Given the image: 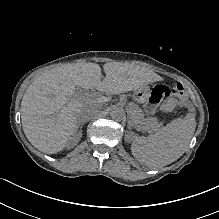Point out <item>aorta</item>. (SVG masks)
I'll list each match as a JSON object with an SVG mask.
<instances>
[{
	"instance_id": "762f6f07",
	"label": "aorta",
	"mask_w": 219,
	"mask_h": 219,
	"mask_svg": "<svg viewBox=\"0 0 219 219\" xmlns=\"http://www.w3.org/2000/svg\"><path fill=\"white\" fill-rule=\"evenodd\" d=\"M108 112L113 120L121 121L125 118L124 109L118 105H111Z\"/></svg>"
}]
</instances>
